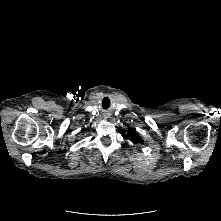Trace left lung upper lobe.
I'll use <instances>...</instances> for the list:
<instances>
[{
	"instance_id": "left-lung-upper-lobe-1",
	"label": "left lung upper lobe",
	"mask_w": 221,
	"mask_h": 221,
	"mask_svg": "<svg viewBox=\"0 0 221 221\" xmlns=\"http://www.w3.org/2000/svg\"><path fill=\"white\" fill-rule=\"evenodd\" d=\"M127 137L135 144L142 142L141 137L135 131H129Z\"/></svg>"
}]
</instances>
